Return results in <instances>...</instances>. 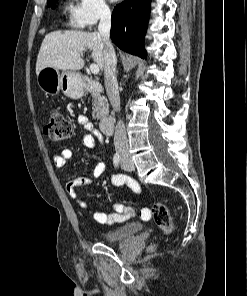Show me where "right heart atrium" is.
Instances as JSON below:
<instances>
[{"mask_svg": "<svg viewBox=\"0 0 247 296\" xmlns=\"http://www.w3.org/2000/svg\"><path fill=\"white\" fill-rule=\"evenodd\" d=\"M110 15L111 9L106 0H75L70 10V21L81 28H92Z\"/></svg>", "mask_w": 247, "mask_h": 296, "instance_id": "obj_1", "label": "right heart atrium"}]
</instances>
